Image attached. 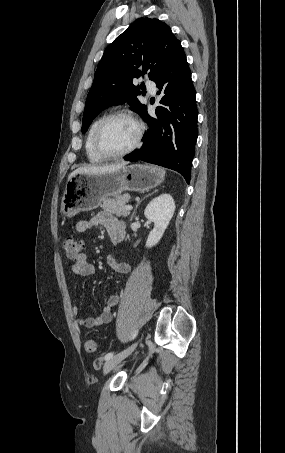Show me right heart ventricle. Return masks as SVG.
Returning <instances> with one entry per match:
<instances>
[{
    "label": "right heart ventricle",
    "instance_id": "1",
    "mask_svg": "<svg viewBox=\"0 0 285 453\" xmlns=\"http://www.w3.org/2000/svg\"><path fill=\"white\" fill-rule=\"evenodd\" d=\"M103 116L101 117H98L97 119H95L92 124L90 125L89 129H88V132H87V135H86V139H85V152H86V156H87V159L89 160V162L93 163V164H99V163H102L104 161V158H102L94 149V146H93V137H94V132H95V129L98 125V123L102 120Z\"/></svg>",
    "mask_w": 285,
    "mask_h": 453
}]
</instances>
